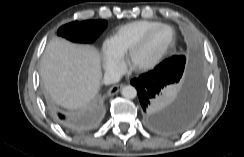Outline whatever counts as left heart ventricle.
I'll return each instance as SVG.
<instances>
[{
  "label": "left heart ventricle",
  "instance_id": "obj_1",
  "mask_svg": "<svg viewBox=\"0 0 244 157\" xmlns=\"http://www.w3.org/2000/svg\"><path fill=\"white\" fill-rule=\"evenodd\" d=\"M173 31L169 28H160L148 38L141 50L136 54L134 65L140 66L155 59L172 41Z\"/></svg>",
  "mask_w": 244,
  "mask_h": 157
}]
</instances>
